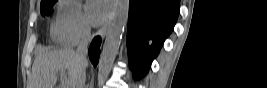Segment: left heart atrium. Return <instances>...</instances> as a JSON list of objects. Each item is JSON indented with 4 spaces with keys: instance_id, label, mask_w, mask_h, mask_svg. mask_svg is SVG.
<instances>
[{
    "instance_id": "obj_1",
    "label": "left heart atrium",
    "mask_w": 267,
    "mask_h": 88,
    "mask_svg": "<svg viewBox=\"0 0 267 88\" xmlns=\"http://www.w3.org/2000/svg\"><path fill=\"white\" fill-rule=\"evenodd\" d=\"M86 15L92 25L102 24L110 15V3L104 0L89 1L86 6Z\"/></svg>"
}]
</instances>
